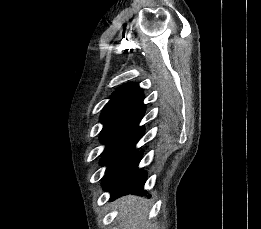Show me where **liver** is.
<instances>
[{
  "label": "liver",
  "mask_w": 261,
  "mask_h": 229,
  "mask_svg": "<svg viewBox=\"0 0 261 229\" xmlns=\"http://www.w3.org/2000/svg\"><path fill=\"white\" fill-rule=\"evenodd\" d=\"M120 209L118 217L120 229H153L150 223L143 225L144 219L147 215V199L142 197H133L127 195L117 201Z\"/></svg>",
  "instance_id": "obj_1"
}]
</instances>
